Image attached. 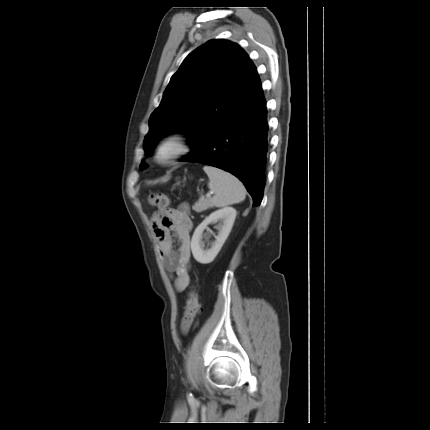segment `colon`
<instances>
[{"label":"colon","mask_w":430,"mask_h":430,"mask_svg":"<svg viewBox=\"0 0 430 430\" xmlns=\"http://www.w3.org/2000/svg\"><path fill=\"white\" fill-rule=\"evenodd\" d=\"M149 202L151 205L157 207L160 212H165L168 210L171 204V199L167 194L164 193H152L149 197ZM199 311L200 304L198 294L196 289L192 288L189 292L185 313L181 323L182 330L184 332H187L189 330Z\"/></svg>","instance_id":"obj_1"}]
</instances>
